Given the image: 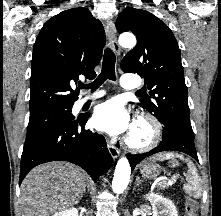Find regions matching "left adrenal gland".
I'll return each mask as SVG.
<instances>
[{"mask_svg": "<svg viewBox=\"0 0 221 216\" xmlns=\"http://www.w3.org/2000/svg\"><path fill=\"white\" fill-rule=\"evenodd\" d=\"M142 182V180L140 179V177L138 176L136 178V183H135V186H134V189L133 190H136L137 186Z\"/></svg>", "mask_w": 221, "mask_h": 216, "instance_id": "a2214340", "label": "left adrenal gland"}]
</instances>
